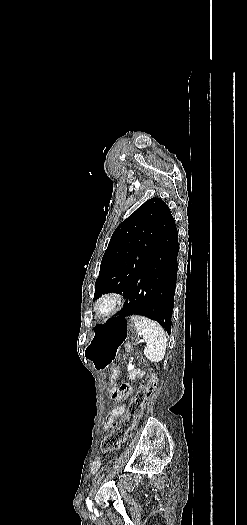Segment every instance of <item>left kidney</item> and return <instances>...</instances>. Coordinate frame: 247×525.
Returning <instances> with one entry per match:
<instances>
[{
    "label": "left kidney",
    "mask_w": 247,
    "mask_h": 525,
    "mask_svg": "<svg viewBox=\"0 0 247 525\" xmlns=\"http://www.w3.org/2000/svg\"><path fill=\"white\" fill-rule=\"evenodd\" d=\"M131 359H133V357H131ZM132 361H130L129 365H128V371H132V369H134V365H131Z\"/></svg>",
    "instance_id": "left-kidney-1"
}]
</instances>
